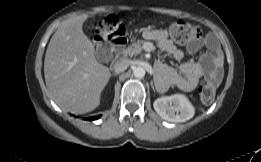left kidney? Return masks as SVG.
I'll list each match as a JSON object with an SVG mask.
<instances>
[{"mask_svg":"<svg viewBox=\"0 0 261 162\" xmlns=\"http://www.w3.org/2000/svg\"><path fill=\"white\" fill-rule=\"evenodd\" d=\"M157 114L169 122H185L194 116V107L183 94L165 96L154 101Z\"/></svg>","mask_w":261,"mask_h":162,"instance_id":"5707ae66","label":"left kidney"}]
</instances>
